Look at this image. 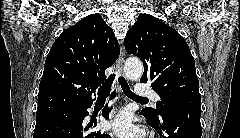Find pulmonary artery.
<instances>
[{
	"mask_svg": "<svg viewBox=\"0 0 240 138\" xmlns=\"http://www.w3.org/2000/svg\"><path fill=\"white\" fill-rule=\"evenodd\" d=\"M136 95L143 98V97H149L154 102H157L159 100V96L149 87L144 84L138 83L136 88Z\"/></svg>",
	"mask_w": 240,
	"mask_h": 138,
	"instance_id": "obj_1",
	"label": "pulmonary artery"
}]
</instances>
